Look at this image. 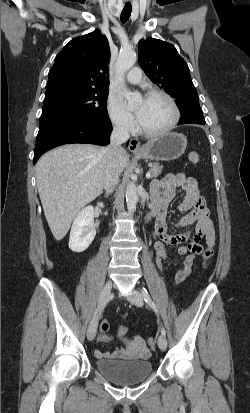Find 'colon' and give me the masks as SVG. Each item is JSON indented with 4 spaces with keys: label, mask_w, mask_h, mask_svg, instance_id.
Segmentation results:
<instances>
[{
    "label": "colon",
    "mask_w": 250,
    "mask_h": 413,
    "mask_svg": "<svg viewBox=\"0 0 250 413\" xmlns=\"http://www.w3.org/2000/svg\"><path fill=\"white\" fill-rule=\"evenodd\" d=\"M199 160H200V157L197 153L193 152L189 155V161L191 163L196 164V163L199 162ZM212 256H213V248L211 246L207 245L206 248L203 250V253H202L204 266L208 263V261L211 259ZM116 326L118 328L117 331H116L117 332V337L118 338H126V334L128 332L127 331V326L124 325L123 322H118ZM99 329L102 333H106L109 329L108 321L107 320L101 321ZM147 342H148V345L150 347H154L155 343H156L155 338H153V337L148 338Z\"/></svg>",
    "instance_id": "colon-1"
}]
</instances>
